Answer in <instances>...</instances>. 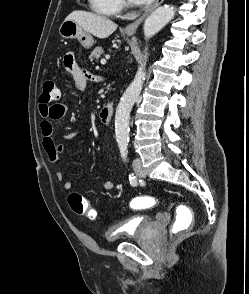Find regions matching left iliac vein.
I'll use <instances>...</instances> for the list:
<instances>
[{
    "mask_svg": "<svg viewBox=\"0 0 249 294\" xmlns=\"http://www.w3.org/2000/svg\"><path fill=\"white\" fill-rule=\"evenodd\" d=\"M133 169L137 176L144 178L146 176L145 171L142 167L141 161L138 158L133 160Z\"/></svg>",
    "mask_w": 249,
    "mask_h": 294,
    "instance_id": "4c4485c4",
    "label": "left iliac vein"
}]
</instances>
